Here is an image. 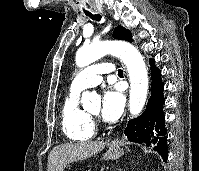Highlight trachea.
<instances>
[{
  "label": "trachea",
  "mask_w": 199,
  "mask_h": 171,
  "mask_svg": "<svg viewBox=\"0 0 199 171\" xmlns=\"http://www.w3.org/2000/svg\"><path fill=\"white\" fill-rule=\"evenodd\" d=\"M86 16H89L91 19L96 20V21H100L101 20V16L100 15H93L89 12L85 13ZM118 76H123V70L119 69L118 70Z\"/></svg>",
  "instance_id": "obj_1"
}]
</instances>
